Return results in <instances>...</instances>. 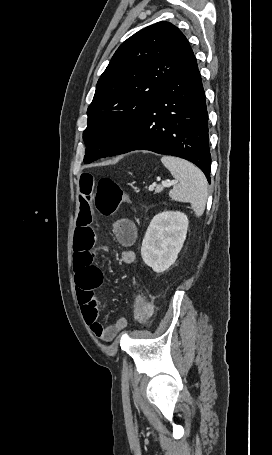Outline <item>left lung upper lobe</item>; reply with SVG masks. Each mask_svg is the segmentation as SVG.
Returning <instances> with one entry per match:
<instances>
[{
  "instance_id": "left-lung-upper-lobe-1",
  "label": "left lung upper lobe",
  "mask_w": 272,
  "mask_h": 455,
  "mask_svg": "<svg viewBox=\"0 0 272 455\" xmlns=\"http://www.w3.org/2000/svg\"><path fill=\"white\" fill-rule=\"evenodd\" d=\"M195 59L186 37L169 22L150 25L123 42L99 78L87 110L84 162L111 155L166 84ZM100 142L98 153L94 144Z\"/></svg>"
}]
</instances>
